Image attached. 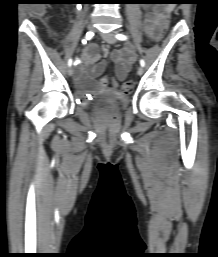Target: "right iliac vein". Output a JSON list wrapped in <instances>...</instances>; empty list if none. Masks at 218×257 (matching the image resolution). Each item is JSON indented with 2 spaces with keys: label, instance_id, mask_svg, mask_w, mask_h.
I'll use <instances>...</instances> for the list:
<instances>
[{
  "label": "right iliac vein",
  "instance_id": "63e3f726",
  "mask_svg": "<svg viewBox=\"0 0 218 257\" xmlns=\"http://www.w3.org/2000/svg\"><path fill=\"white\" fill-rule=\"evenodd\" d=\"M87 29H88L89 31H91V30L93 29V22H92V21H90V22L88 23ZM67 73H68L69 76H72L73 73H74V69L70 66V67L68 68V70H67Z\"/></svg>",
  "mask_w": 218,
  "mask_h": 257
}]
</instances>
